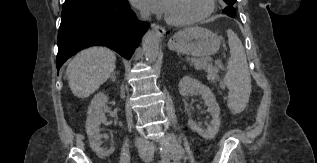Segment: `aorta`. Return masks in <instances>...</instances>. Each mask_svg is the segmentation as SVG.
Listing matches in <instances>:
<instances>
[{"instance_id":"1","label":"aorta","mask_w":317,"mask_h":163,"mask_svg":"<svg viewBox=\"0 0 317 163\" xmlns=\"http://www.w3.org/2000/svg\"><path fill=\"white\" fill-rule=\"evenodd\" d=\"M161 35L158 30H149L142 39L143 52L150 62H155L159 54Z\"/></svg>"}]
</instances>
